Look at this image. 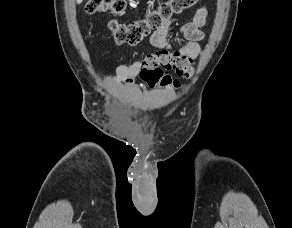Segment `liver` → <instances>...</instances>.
Instances as JSON below:
<instances>
[{"instance_id":"liver-1","label":"liver","mask_w":292,"mask_h":228,"mask_svg":"<svg viewBox=\"0 0 292 228\" xmlns=\"http://www.w3.org/2000/svg\"><path fill=\"white\" fill-rule=\"evenodd\" d=\"M77 4H80L83 0H76Z\"/></svg>"}]
</instances>
